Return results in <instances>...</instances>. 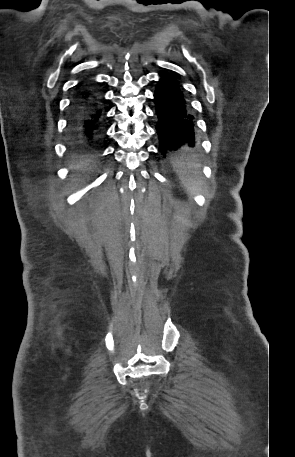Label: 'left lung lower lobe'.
Returning <instances> with one entry per match:
<instances>
[{
  "label": "left lung lower lobe",
  "mask_w": 295,
  "mask_h": 457,
  "mask_svg": "<svg viewBox=\"0 0 295 457\" xmlns=\"http://www.w3.org/2000/svg\"><path fill=\"white\" fill-rule=\"evenodd\" d=\"M157 114V134L163 156L182 146L194 147L195 125L183 88L168 74L160 77L154 93Z\"/></svg>",
  "instance_id": "0a47b994"
}]
</instances>
